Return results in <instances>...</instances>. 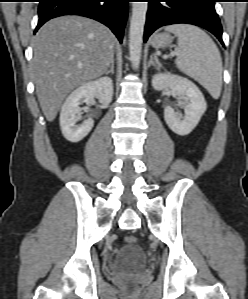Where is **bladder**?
I'll return each instance as SVG.
<instances>
[{
	"label": "bladder",
	"mask_w": 248,
	"mask_h": 299,
	"mask_svg": "<svg viewBox=\"0 0 248 299\" xmlns=\"http://www.w3.org/2000/svg\"><path fill=\"white\" fill-rule=\"evenodd\" d=\"M146 266V257L137 244L125 246L114 257L111 269L114 271H141Z\"/></svg>",
	"instance_id": "bladder-1"
}]
</instances>
